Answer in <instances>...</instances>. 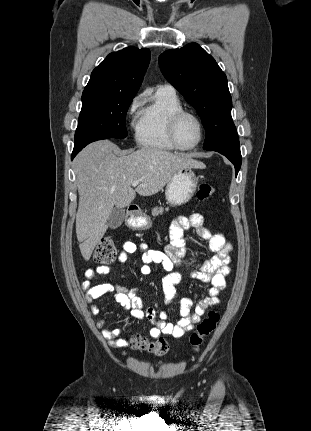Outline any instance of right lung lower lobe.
Wrapping results in <instances>:
<instances>
[{"mask_svg": "<svg viewBox=\"0 0 311 431\" xmlns=\"http://www.w3.org/2000/svg\"><path fill=\"white\" fill-rule=\"evenodd\" d=\"M101 139H108V138H104V137H92V138H87L84 140H81L79 142H75L74 145V150L72 152V156L71 159L73 160V158L89 143L93 142V141H97V140H101Z\"/></svg>", "mask_w": 311, "mask_h": 431, "instance_id": "1", "label": "right lung lower lobe"}]
</instances>
